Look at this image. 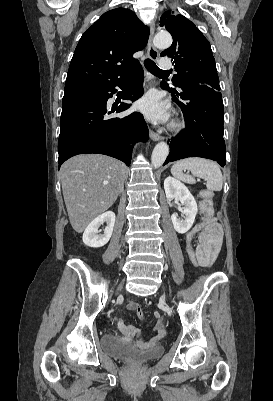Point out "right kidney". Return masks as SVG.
Returning <instances> with one entry per match:
<instances>
[{
    "label": "right kidney",
    "mask_w": 273,
    "mask_h": 401,
    "mask_svg": "<svg viewBox=\"0 0 273 401\" xmlns=\"http://www.w3.org/2000/svg\"><path fill=\"white\" fill-rule=\"evenodd\" d=\"M103 223H106L107 225L104 235H98V229L100 225H103ZM114 225L115 213L107 211V213L99 215V217H96V219L88 225L87 229H85L82 237L84 245H87V247H104L109 239H111Z\"/></svg>",
    "instance_id": "obj_1"
}]
</instances>
